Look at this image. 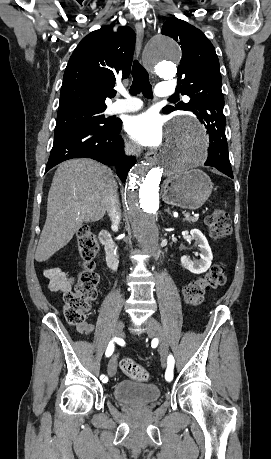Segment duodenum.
<instances>
[{
	"mask_svg": "<svg viewBox=\"0 0 271 459\" xmlns=\"http://www.w3.org/2000/svg\"><path fill=\"white\" fill-rule=\"evenodd\" d=\"M99 240L104 247L106 263L112 270L118 267V258L115 251V245L111 234L108 230L103 229L99 233Z\"/></svg>",
	"mask_w": 271,
	"mask_h": 459,
	"instance_id": "duodenum-1",
	"label": "duodenum"
}]
</instances>
